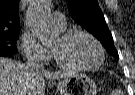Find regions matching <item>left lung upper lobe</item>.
<instances>
[{"instance_id": "obj_1", "label": "left lung upper lobe", "mask_w": 135, "mask_h": 95, "mask_svg": "<svg viewBox=\"0 0 135 95\" xmlns=\"http://www.w3.org/2000/svg\"><path fill=\"white\" fill-rule=\"evenodd\" d=\"M73 19L93 34L114 57L118 52L97 0H66Z\"/></svg>"}]
</instances>
